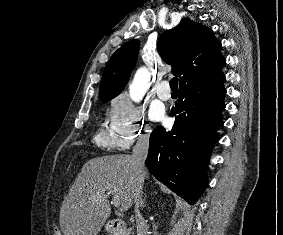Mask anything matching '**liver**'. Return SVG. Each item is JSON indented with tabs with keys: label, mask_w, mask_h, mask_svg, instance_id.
Segmentation results:
<instances>
[{
	"label": "liver",
	"mask_w": 283,
	"mask_h": 235,
	"mask_svg": "<svg viewBox=\"0 0 283 235\" xmlns=\"http://www.w3.org/2000/svg\"><path fill=\"white\" fill-rule=\"evenodd\" d=\"M109 186L117 188L121 206L127 211L133 204L136 186L131 155H107L84 164L60 209L63 235H98L111 214Z\"/></svg>",
	"instance_id": "obj_1"
}]
</instances>
